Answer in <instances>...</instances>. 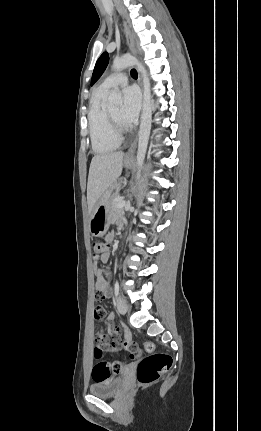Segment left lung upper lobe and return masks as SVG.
Returning <instances> with one entry per match:
<instances>
[{"label": "left lung upper lobe", "mask_w": 261, "mask_h": 431, "mask_svg": "<svg viewBox=\"0 0 261 431\" xmlns=\"http://www.w3.org/2000/svg\"><path fill=\"white\" fill-rule=\"evenodd\" d=\"M108 61H109V55L107 52H104L96 62L92 79H91V85H93L103 74L104 70L107 67Z\"/></svg>", "instance_id": "5c2ea615"}]
</instances>
